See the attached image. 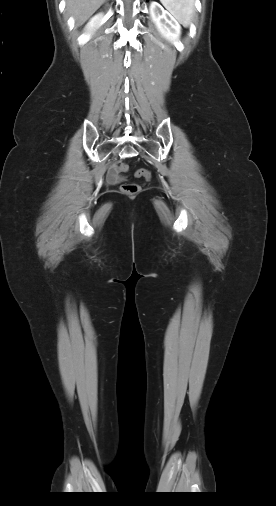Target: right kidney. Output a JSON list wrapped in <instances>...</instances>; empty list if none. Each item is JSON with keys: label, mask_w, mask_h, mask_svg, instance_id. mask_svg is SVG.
<instances>
[{"label": "right kidney", "mask_w": 276, "mask_h": 506, "mask_svg": "<svg viewBox=\"0 0 276 506\" xmlns=\"http://www.w3.org/2000/svg\"><path fill=\"white\" fill-rule=\"evenodd\" d=\"M103 18V14L95 15L85 27V34L87 37L91 36L95 29L100 25Z\"/></svg>", "instance_id": "1"}]
</instances>
